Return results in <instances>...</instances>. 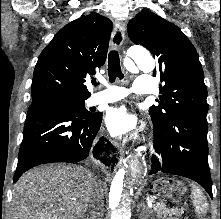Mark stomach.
<instances>
[{"instance_id": "stomach-1", "label": "stomach", "mask_w": 221, "mask_h": 219, "mask_svg": "<svg viewBox=\"0 0 221 219\" xmlns=\"http://www.w3.org/2000/svg\"><path fill=\"white\" fill-rule=\"evenodd\" d=\"M170 183H176V178H158L154 180L151 185L153 199H172V195H180L184 191L181 184H179L180 187H177L178 190H172L173 185Z\"/></svg>"}]
</instances>
